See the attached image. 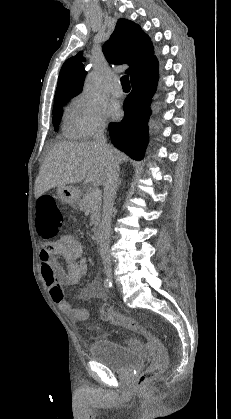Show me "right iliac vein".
I'll return each instance as SVG.
<instances>
[{
	"label": "right iliac vein",
	"mask_w": 231,
	"mask_h": 419,
	"mask_svg": "<svg viewBox=\"0 0 231 419\" xmlns=\"http://www.w3.org/2000/svg\"><path fill=\"white\" fill-rule=\"evenodd\" d=\"M106 274L108 276L109 279H113V274H112V270L111 269H106Z\"/></svg>",
	"instance_id": "obj_1"
}]
</instances>
